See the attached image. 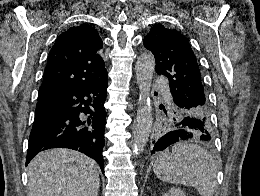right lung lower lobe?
Instances as JSON below:
<instances>
[{"label": "right lung lower lobe", "instance_id": "1", "mask_svg": "<svg viewBox=\"0 0 260 196\" xmlns=\"http://www.w3.org/2000/svg\"><path fill=\"white\" fill-rule=\"evenodd\" d=\"M107 85L105 78L38 102L36 114L47 117L33 124L26 165L42 150L70 148L93 158L104 173Z\"/></svg>", "mask_w": 260, "mask_h": 196}]
</instances>
